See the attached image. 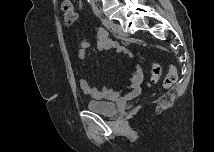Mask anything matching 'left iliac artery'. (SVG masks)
Segmentation results:
<instances>
[{
    "instance_id": "1",
    "label": "left iliac artery",
    "mask_w": 215,
    "mask_h": 152,
    "mask_svg": "<svg viewBox=\"0 0 215 152\" xmlns=\"http://www.w3.org/2000/svg\"><path fill=\"white\" fill-rule=\"evenodd\" d=\"M95 14L100 18L102 24L107 27L110 28L111 27V22L110 20L104 19L101 17L100 11L98 9H94Z\"/></svg>"
}]
</instances>
